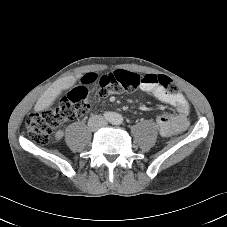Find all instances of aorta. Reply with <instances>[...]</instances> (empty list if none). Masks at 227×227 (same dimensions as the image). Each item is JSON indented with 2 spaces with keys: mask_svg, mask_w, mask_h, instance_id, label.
<instances>
[{
  "mask_svg": "<svg viewBox=\"0 0 227 227\" xmlns=\"http://www.w3.org/2000/svg\"><path fill=\"white\" fill-rule=\"evenodd\" d=\"M122 121H123V117H122L120 114L115 113V114L113 115V119H112V123H113V124H121Z\"/></svg>",
  "mask_w": 227,
  "mask_h": 227,
  "instance_id": "aorta-1",
  "label": "aorta"
}]
</instances>
